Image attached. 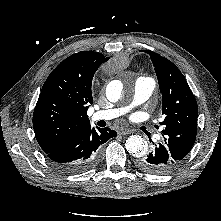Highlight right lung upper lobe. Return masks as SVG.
Masks as SVG:
<instances>
[{
	"instance_id": "cb5924a9",
	"label": "right lung upper lobe",
	"mask_w": 221,
	"mask_h": 221,
	"mask_svg": "<svg viewBox=\"0 0 221 221\" xmlns=\"http://www.w3.org/2000/svg\"><path fill=\"white\" fill-rule=\"evenodd\" d=\"M108 59L98 52H78L48 76L33 113L35 136L45 153L91 126L87 110L93 103L92 79Z\"/></svg>"
}]
</instances>
